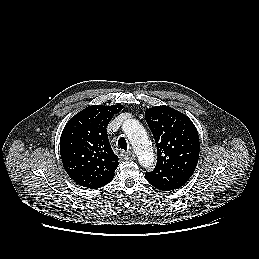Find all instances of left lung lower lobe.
Segmentation results:
<instances>
[{
	"label": "left lung lower lobe",
	"instance_id": "obj_1",
	"mask_svg": "<svg viewBox=\"0 0 259 259\" xmlns=\"http://www.w3.org/2000/svg\"><path fill=\"white\" fill-rule=\"evenodd\" d=\"M145 176L151 185L163 191L178 189L188 181L183 176L168 170H153L146 172Z\"/></svg>",
	"mask_w": 259,
	"mask_h": 259
}]
</instances>
